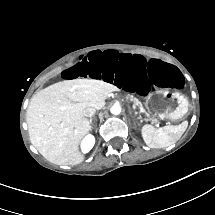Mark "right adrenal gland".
<instances>
[{
  "mask_svg": "<svg viewBox=\"0 0 215 215\" xmlns=\"http://www.w3.org/2000/svg\"><path fill=\"white\" fill-rule=\"evenodd\" d=\"M89 123L92 124V118H90ZM92 130V126H90V131Z\"/></svg>",
  "mask_w": 215,
  "mask_h": 215,
  "instance_id": "1",
  "label": "right adrenal gland"
}]
</instances>
